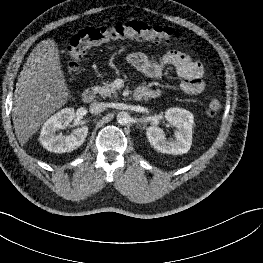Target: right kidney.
I'll return each mask as SVG.
<instances>
[{
    "label": "right kidney",
    "mask_w": 263,
    "mask_h": 263,
    "mask_svg": "<svg viewBox=\"0 0 263 263\" xmlns=\"http://www.w3.org/2000/svg\"><path fill=\"white\" fill-rule=\"evenodd\" d=\"M73 108H65L51 116L42 126L40 142L50 152L65 153L77 149L83 144L88 133V127L74 129L68 136L56 132L64 129L74 119Z\"/></svg>",
    "instance_id": "obj_1"
}]
</instances>
